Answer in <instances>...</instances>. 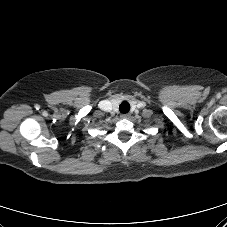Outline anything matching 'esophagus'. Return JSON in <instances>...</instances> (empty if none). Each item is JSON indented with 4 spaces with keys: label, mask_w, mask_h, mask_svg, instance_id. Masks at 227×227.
Instances as JSON below:
<instances>
[{
    "label": "esophagus",
    "mask_w": 227,
    "mask_h": 227,
    "mask_svg": "<svg viewBox=\"0 0 227 227\" xmlns=\"http://www.w3.org/2000/svg\"><path fill=\"white\" fill-rule=\"evenodd\" d=\"M129 117H130L129 114H123V115H121V118H123V119H128Z\"/></svg>",
    "instance_id": "esophagus-1"
}]
</instances>
